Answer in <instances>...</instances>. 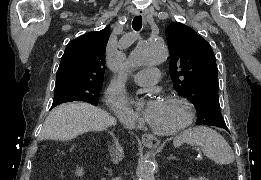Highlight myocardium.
I'll list each match as a JSON object with an SVG mask.
<instances>
[{
    "label": "myocardium",
    "instance_id": "obj_1",
    "mask_svg": "<svg viewBox=\"0 0 261 180\" xmlns=\"http://www.w3.org/2000/svg\"><path fill=\"white\" fill-rule=\"evenodd\" d=\"M164 98L178 101L183 105L184 116L182 118L180 126L177 130L171 133H153L146 124V130L148 134L153 135L160 140H174L182 136L190 126L193 120V105L187 97L175 91H170L166 93Z\"/></svg>",
    "mask_w": 261,
    "mask_h": 180
}]
</instances>
